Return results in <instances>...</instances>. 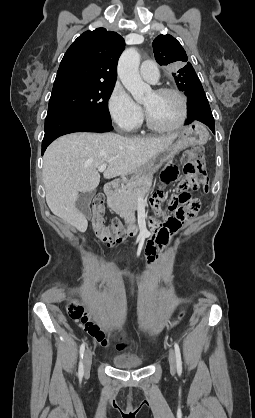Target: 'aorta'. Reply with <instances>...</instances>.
I'll return each instance as SVG.
<instances>
[{
	"label": "aorta",
	"instance_id": "762f6f07",
	"mask_svg": "<svg viewBox=\"0 0 255 418\" xmlns=\"http://www.w3.org/2000/svg\"><path fill=\"white\" fill-rule=\"evenodd\" d=\"M140 55L135 48L125 50L118 62V75L124 87L137 102H142L152 91L139 75Z\"/></svg>",
	"mask_w": 255,
	"mask_h": 418
}]
</instances>
